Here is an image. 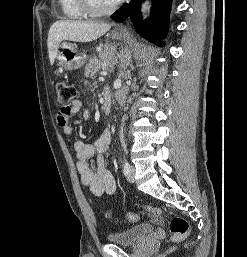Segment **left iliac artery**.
Instances as JSON below:
<instances>
[{"label":"left iliac artery","mask_w":247,"mask_h":257,"mask_svg":"<svg viewBox=\"0 0 247 257\" xmlns=\"http://www.w3.org/2000/svg\"><path fill=\"white\" fill-rule=\"evenodd\" d=\"M129 168H130L129 163L127 161H125L124 164H123V174L124 175L128 174Z\"/></svg>","instance_id":"1"}]
</instances>
